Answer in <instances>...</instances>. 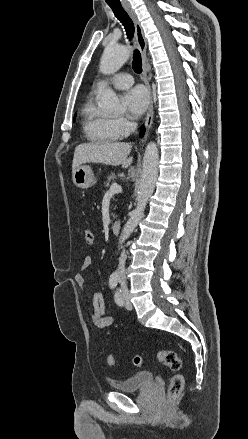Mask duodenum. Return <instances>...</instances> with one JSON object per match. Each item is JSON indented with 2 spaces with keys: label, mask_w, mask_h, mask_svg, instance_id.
I'll return each instance as SVG.
<instances>
[{
  "label": "duodenum",
  "mask_w": 248,
  "mask_h": 439,
  "mask_svg": "<svg viewBox=\"0 0 248 439\" xmlns=\"http://www.w3.org/2000/svg\"><path fill=\"white\" fill-rule=\"evenodd\" d=\"M122 229V222L120 220H115L111 225V230L115 234H119Z\"/></svg>",
  "instance_id": "1"
}]
</instances>
